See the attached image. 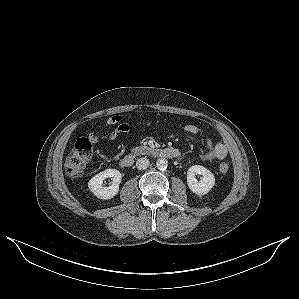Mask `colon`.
Listing matches in <instances>:
<instances>
[{
    "label": "colon",
    "mask_w": 299,
    "mask_h": 299,
    "mask_svg": "<svg viewBox=\"0 0 299 299\" xmlns=\"http://www.w3.org/2000/svg\"><path fill=\"white\" fill-rule=\"evenodd\" d=\"M92 154V144L88 138L79 139L72 152L68 155L65 161V170L71 177H80L86 171L90 163ZM222 173H227L229 166L227 163H222L219 166Z\"/></svg>",
    "instance_id": "5ec220e1"
}]
</instances>
